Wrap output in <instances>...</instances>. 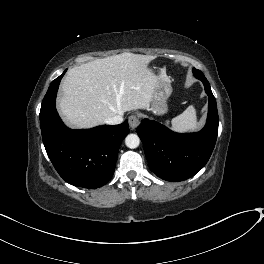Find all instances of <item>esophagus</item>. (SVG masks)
Instances as JSON below:
<instances>
[{
  "label": "esophagus",
  "mask_w": 264,
  "mask_h": 264,
  "mask_svg": "<svg viewBox=\"0 0 264 264\" xmlns=\"http://www.w3.org/2000/svg\"><path fill=\"white\" fill-rule=\"evenodd\" d=\"M129 126L132 130H134L140 123L139 117L137 115H131L128 118Z\"/></svg>",
  "instance_id": "34e87169"
}]
</instances>
